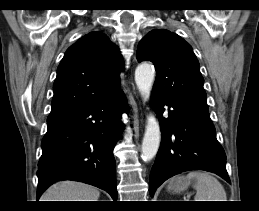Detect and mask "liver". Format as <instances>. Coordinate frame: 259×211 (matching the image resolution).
<instances>
[{"label": "liver", "mask_w": 259, "mask_h": 211, "mask_svg": "<svg viewBox=\"0 0 259 211\" xmlns=\"http://www.w3.org/2000/svg\"><path fill=\"white\" fill-rule=\"evenodd\" d=\"M100 192L93 186L73 181H62L52 185L41 201H98Z\"/></svg>", "instance_id": "6515ba94"}]
</instances>
